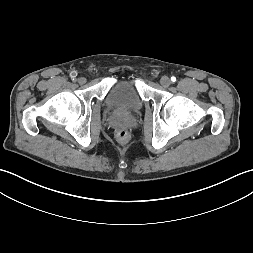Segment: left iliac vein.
<instances>
[{
	"instance_id": "obj_1",
	"label": "left iliac vein",
	"mask_w": 253,
	"mask_h": 253,
	"mask_svg": "<svg viewBox=\"0 0 253 253\" xmlns=\"http://www.w3.org/2000/svg\"><path fill=\"white\" fill-rule=\"evenodd\" d=\"M160 84H161L163 87L167 88V87H169V85L171 84V80H170L169 77L163 76V77L160 79Z\"/></svg>"
}]
</instances>
